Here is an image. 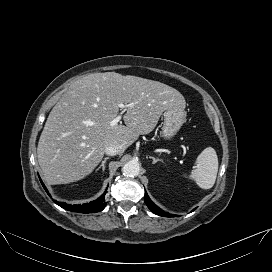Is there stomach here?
<instances>
[{"label": "stomach", "instance_id": "obj_1", "mask_svg": "<svg viewBox=\"0 0 272 272\" xmlns=\"http://www.w3.org/2000/svg\"><path fill=\"white\" fill-rule=\"evenodd\" d=\"M161 136L165 140H171L179 131L186 120V112L183 107H172L165 110Z\"/></svg>", "mask_w": 272, "mask_h": 272}]
</instances>
